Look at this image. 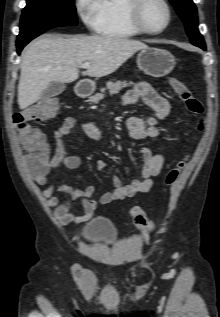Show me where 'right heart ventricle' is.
<instances>
[{
	"instance_id": "obj_1",
	"label": "right heart ventricle",
	"mask_w": 220,
	"mask_h": 317,
	"mask_svg": "<svg viewBox=\"0 0 220 317\" xmlns=\"http://www.w3.org/2000/svg\"><path fill=\"white\" fill-rule=\"evenodd\" d=\"M131 0H98L96 30L113 38H131L141 34L130 21Z\"/></svg>"
}]
</instances>
